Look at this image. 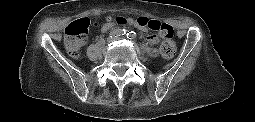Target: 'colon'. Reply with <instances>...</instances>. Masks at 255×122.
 <instances>
[{
  "instance_id": "5ec220e1",
  "label": "colon",
  "mask_w": 255,
  "mask_h": 122,
  "mask_svg": "<svg viewBox=\"0 0 255 122\" xmlns=\"http://www.w3.org/2000/svg\"><path fill=\"white\" fill-rule=\"evenodd\" d=\"M114 21L120 25H128L130 18L118 16ZM136 27L143 30L156 31L162 38L160 45V53L164 58L170 59L175 55L176 44L173 39V28L163 22L150 19L148 17H138L134 19ZM95 27V22L87 18L78 19L70 23L65 29V46L68 52L77 57L80 54L82 47L89 40V31Z\"/></svg>"
}]
</instances>
